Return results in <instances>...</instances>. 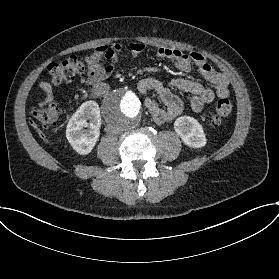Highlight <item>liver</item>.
<instances>
[{
	"instance_id": "1",
	"label": "liver",
	"mask_w": 279,
	"mask_h": 279,
	"mask_svg": "<svg viewBox=\"0 0 279 279\" xmlns=\"http://www.w3.org/2000/svg\"><path fill=\"white\" fill-rule=\"evenodd\" d=\"M48 141H49V142H52V140H51L50 138H48Z\"/></svg>"
}]
</instances>
